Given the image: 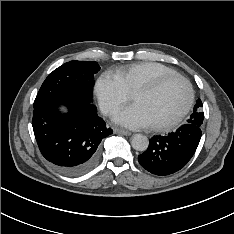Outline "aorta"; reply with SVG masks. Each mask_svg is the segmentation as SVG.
<instances>
[{
    "mask_svg": "<svg viewBox=\"0 0 234 234\" xmlns=\"http://www.w3.org/2000/svg\"><path fill=\"white\" fill-rule=\"evenodd\" d=\"M131 145L137 151H145L148 148L149 140L145 135L135 134L131 139Z\"/></svg>",
    "mask_w": 234,
    "mask_h": 234,
    "instance_id": "1",
    "label": "aorta"
}]
</instances>
